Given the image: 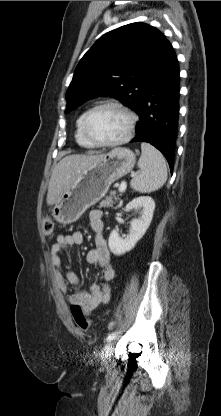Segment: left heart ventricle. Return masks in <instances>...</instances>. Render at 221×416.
<instances>
[{
	"mask_svg": "<svg viewBox=\"0 0 221 416\" xmlns=\"http://www.w3.org/2000/svg\"><path fill=\"white\" fill-rule=\"evenodd\" d=\"M127 127V116L112 106L97 110L91 116L88 125L91 135L100 141H112L122 137Z\"/></svg>",
	"mask_w": 221,
	"mask_h": 416,
	"instance_id": "left-heart-ventricle-1",
	"label": "left heart ventricle"
}]
</instances>
